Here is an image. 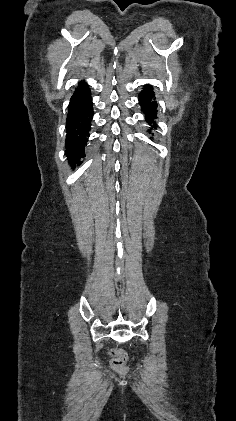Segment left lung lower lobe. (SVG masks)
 <instances>
[{
	"mask_svg": "<svg viewBox=\"0 0 236 421\" xmlns=\"http://www.w3.org/2000/svg\"><path fill=\"white\" fill-rule=\"evenodd\" d=\"M155 96L153 88L150 85L144 86L143 91L139 94V102L141 105L142 112L145 114L146 122L152 127L156 128L154 119L157 118V103L152 101ZM151 133V129L149 130Z\"/></svg>",
	"mask_w": 236,
	"mask_h": 421,
	"instance_id": "left-lung-lower-lobe-1",
	"label": "left lung lower lobe"
}]
</instances>
